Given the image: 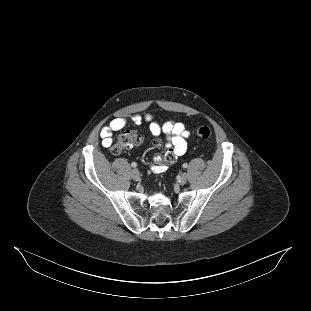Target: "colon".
I'll return each instance as SVG.
<instances>
[{
  "label": "colon",
  "mask_w": 311,
  "mask_h": 311,
  "mask_svg": "<svg viewBox=\"0 0 311 311\" xmlns=\"http://www.w3.org/2000/svg\"><path fill=\"white\" fill-rule=\"evenodd\" d=\"M194 134L201 139H208L212 135V130L208 126H198L193 130ZM143 142V137L136 131H126L120 134L111 147L114 154H120Z\"/></svg>",
  "instance_id": "obj_1"
}]
</instances>
